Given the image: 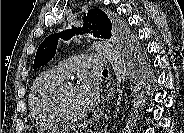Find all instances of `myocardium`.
I'll list each match as a JSON object with an SVG mask.
<instances>
[{
    "label": "myocardium",
    "instance_id": "myocardium-1",
    "mask_svg": "<svg viewBox=\"0 0 184 133\" xmlns=\"http://www.w3.org/2000/svg\"><path fill=\"white\" fill-rule=\"evenodd\" d=\"M68 87H74L73 83L70 81H65V82L63 81L55 89L53 98H52L53 109L61 123L78 124L85 120L86 115H83L81 117H71V116H68L63 109L62 96L65 89Z\"/></svg>",
    "mask_w": 184,
    "mask_h": 133
}]
</instances>
